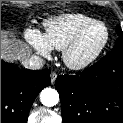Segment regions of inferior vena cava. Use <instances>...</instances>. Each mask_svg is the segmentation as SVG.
Here are the masks:
<instances>
[{
	"mask_svg": "<svg viewBox=\"0 0 123 123\" xmlns=\"http://www.w3.org/2000/svg\"><path fill=\"white\" fill-rule=\"evenodd\" d=\"M22 64L26 69L39 70L43 67L44 60L39 56L33 55L30 58L24 59Z\"/></svg>",
	"mask_w": 123,
	"mask_h": 123,
	"instance_id": "602c4592",
	"label": "inferior vena cava"
}]
</instances>
